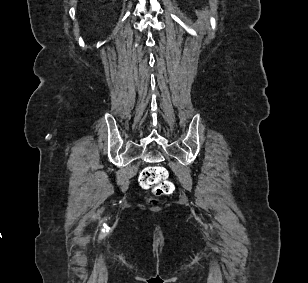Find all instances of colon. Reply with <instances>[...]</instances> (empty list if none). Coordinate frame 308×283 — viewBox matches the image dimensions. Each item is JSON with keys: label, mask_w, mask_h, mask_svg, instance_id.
<instances>
[{"label": "colon", "mask_w": 308, "mask_h": 283, "mask_svg": "<svg viewBox=\"0 0 308 283\" xmlns=\"http://www.w3.org/2000/svg\"><path fill=\"white\" fill-rule=\"evenodd\" d=\"M138 181L142 188L152 190L156 196L169 195L174 190L173 183L168 179V172L162 166L145 167L139 173Z\"/></svg>", "instance_id": "1"}]
</instances>
